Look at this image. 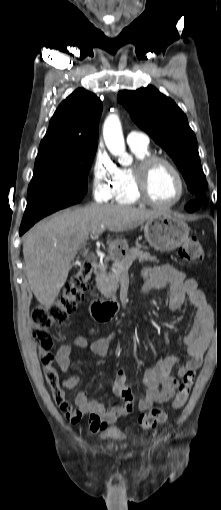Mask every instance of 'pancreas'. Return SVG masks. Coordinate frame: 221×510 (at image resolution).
Wrapping results in <instances>:
<instances>
[{"label": "pancreas", "instance_id": "obj_1", "mask_svg": "<svg viewBox=\"0 0 221 510\" xmlns=\"http://www.w3.org/2000/svg\"><path fill=\"white\" fill-rule=\"evenodd\" d=\"M138 259L140 262L151 261L159 262L155 256L150 255L148 252L140 250L138 247H132L126 255L116 260L108 273L100 274L97 278V287L100 292L106 297H115L116 291L119 287L121 274L128 270L133 261Z\"/></svg>", "mask_w": 221, "mask_h": 510}]
</instances>
